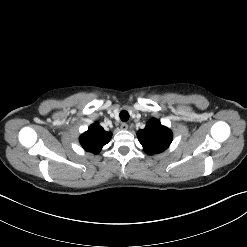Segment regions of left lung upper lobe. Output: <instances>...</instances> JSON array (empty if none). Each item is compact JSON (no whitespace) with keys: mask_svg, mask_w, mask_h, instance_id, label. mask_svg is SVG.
Segmentation results:
<instances>
[{"mask_svg":"<svg viewBox=\"0 0 247 247\" xmlns=\"http://www.w3.org/2000/svg\"><path fill=\"white\" fill-rule=\"evenodd\" d=\"M138 139L144 151L149 154H157L166 150L172 141V132L153 118L143 130L137 132Z\"/></svg>","mask_w":247,"mask_h":247,"instance_id":"left-lung-upper-lobe-1","label":"left lung upper lobe"}]
</instances>
